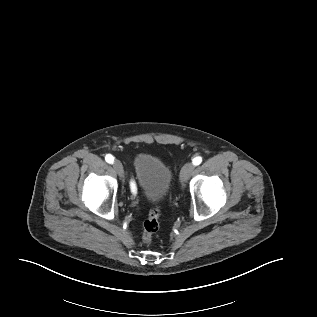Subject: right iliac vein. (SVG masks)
I'll use <instances>...</instances> for the list:
<instances>
[{"mask_svg":"<svg viewBox=\"0 0 317 317\" xmlns=\"http://www.w3.org/2000/svg\"><path fill=\"white\" fill-rule=\"evenodd\" d=\"M113 168L114 170L118 173L120 178L124 177V170H123V166L122 163L119 160H115L113 163Z\"/></svg>","mask_w":317,"mask_h":317,"instance_id":"obj_1","label":"right iliac vein"}]
</instances>
